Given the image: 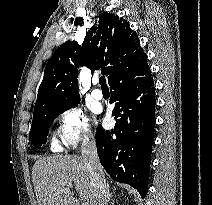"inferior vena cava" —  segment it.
Listing matches in <instances>:
<instances>
[{"label": "inferior vena cava", "mask_w": 212, "mask_h": 205, "mask_svg": "<svg viewBox=\"0 0 212 205\" xmlns=\"http://www.w3.org/2000/svg\"><path fill=\"white\" fill-rule=\"evenodd\" d=\"M81 153L90 173V185L93 189L92 205H107L103 168L98 158L96 142L93 137L88 135L83 137Z\"/></svg>", "instance_id": "1"}]
</instances>
